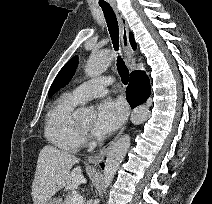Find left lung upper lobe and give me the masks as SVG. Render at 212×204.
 <instances>
[{
    "label": "left lung upper lobe",
    "instance_id": "1",
    "mask_svg": "<svg viewBox=\"0 0 212 204\" xmlns=\"http://www.w3.org/2000/svg\"><path fill=\"white\" fill-rule=\"evenodd\" d=\"M78 57L74 56L71 58L59 71L53 84L50 87L48 96L51 97L60 88L64 87L73 77L75 68L77 67Z\"/></svg>",
    "mask_w": 212,
    "mask_h": 204
}]
</instances>
